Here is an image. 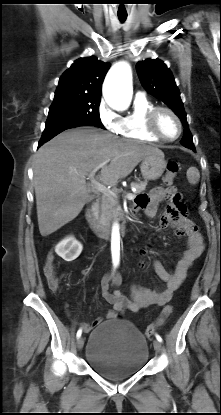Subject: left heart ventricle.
Returning <instances> with one entry per match:
<instances>
[{
    "mask_svg": "<svg viewBox=\"0 0 221 415\" xmlns=\"http://www.w3.org/2000/svg\"><path fill=\"white\" fill-rule=\"evenodd\" d=\"M158 128L164 136L169 138L175 137L178 133L176 120L167 112L160 113L158 117Z\"/></svg>",
    "mask_w": 221,
    "mask_h": 415,
    "instance_id": "b2bd125f",
    "label": "left heart ventricle"
}]
</instances>
